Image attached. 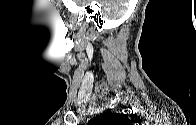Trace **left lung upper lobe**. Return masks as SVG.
Returning a JSON list of instances; mask_svg holds the SVG:
<instances>
[{"label": "left lung upper lobe", "instance_id": "obj_1", "mask_svg": "<svg viewBox=\"0 0 196 125\" xmlns=\"http://www.w3.org/2000/svg\"><path fill=\"white\" fill-rule=\"evenodd\" d=\"M93 125H130V120L127 115L120 113H107L101 117L94 119Z\"/></svg>", "mask_w": 196, "mask_h": 125}]
</instances>
